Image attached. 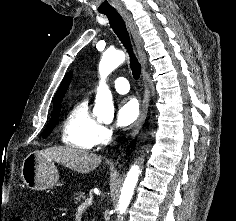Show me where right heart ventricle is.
<instances>
[{
  "mask_svg": "<svg viewBox=\"0 0 236 221\" xmlns=\"http://www.w3.org/2000/svg\"><path fill=\"white\" fill-rule=\"evenodd\" d=\"M100 123L90 112L88 99L77 102L62 124V141L69 147L91 150L97 144Z\"/></svg>",
  "mask_w": 236,
  "mask_h": 221,
  "instance_id": "1",
  "label": "right heart ventricle"
}]
</instances>
